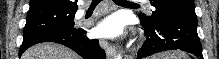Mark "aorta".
Segmentation results:
<instances>
[{
  "instance_id": "1",
  "label": "aorta",
  "mask_w": 219,
  "mask_h": 59,
  "mask_svg": "<svg viewBox=\"0 0 219 59\" xmlns=\"http://www.w3.org/2000/svg\"><path fill=\"white\" fill-rule=\"evenodd\" d=\"M117 59H121V56H120V55H118V56H117Z\"/></svg>"
}]
</instances>
